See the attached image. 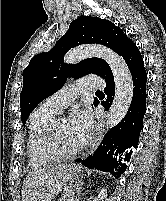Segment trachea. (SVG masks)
<instances>
[{"label": "trachea", "mask_w": 166, "mask_h": 201, "mask_svg": "<svg viewBox=\"0 0 166 201\" xmlns=\"http://www.w3.org/2000/svg\"><path fill=\"white\" fill-rule=\"evenodd\" d=\"M96 93H102L101 91H97Z\"/></svg>", "instance_id": "3493384b"}]
</instances>
